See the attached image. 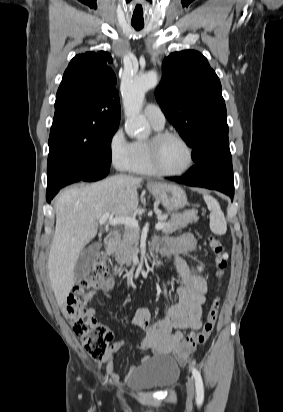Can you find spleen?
Instances as JSON below:
<instances>
[{"mask_svg": "<svg viewBox=\"0 0 283 412\" xmlns=\"http://www.w3.org/2000/svg\"><path fill=\"white\" fill-rule=\"evenodd\" d=\"M204 200L210 210L211 231L217 235H224L227 231V222L218 201L209 195H204Z\"/></svg>", "mask_w": 283, "mask_h": 412, "instance_id": "spleen-1", "label": "spleen"}]
</instances>
